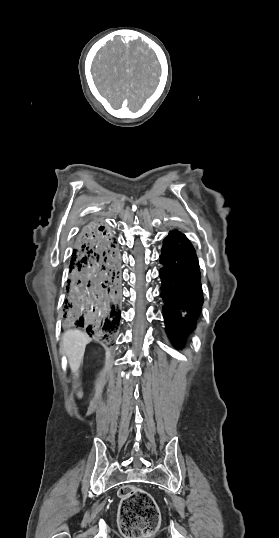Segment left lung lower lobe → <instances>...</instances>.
<instances>
[{
    "mask_svg": "<svg viewBox=\"0 0 279 538\" xmlns=\"http://www.w3.org/2000/svg\"><path fill=\"white\" fill-rule=\"evenodd\" d=\"M160 263L166 332L173 345L181 348L203 304L198 259L189 240L175 230L163 241Z\"/></svg>",
    "mask_w": 279,
    "mask_h": 538,
    "instance_id": "1",
    "label": "left lung lower lobe"
}]
</instances>
